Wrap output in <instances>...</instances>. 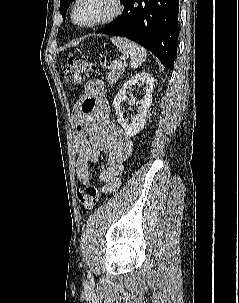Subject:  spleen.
<instances>
[{
  "mask_svg": "<svg viewBox=\"0 0 239 303\" xmlns=\"http://www.w3.org/2000/svg\"><path fill=\"white\" fill-rule=\"evenodd\" d=\"M111 42L124 55H130V65L132 68H138L147 57L146 50L137 43L122 37H112Z\"/></svg>",
  "mask_w": 239,
  "mask_h": 303,
  "instance_id": "obj_1",
  "label": "spleen"
}]
</instances>
